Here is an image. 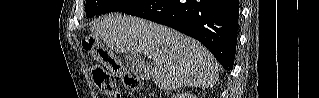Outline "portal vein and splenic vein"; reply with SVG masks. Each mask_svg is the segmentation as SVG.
<instances>
[{
	"label": "portal vein and splenic vein",
	"instance_id": "portal-vein-and-splenic-vein-1",
	"mask_svg": "<svg viewBox=\"0 0 319 98\" xmlns=\"http://www.w3.org/2000/svg\"><path fill=\"white\" fill-rule=\"evenodd\" d=\"M143 53H144V55H149L148 51H144Z\"/></svg>",
	"mask_w": 319,
	"mask_h": 98
}]
</instances>
